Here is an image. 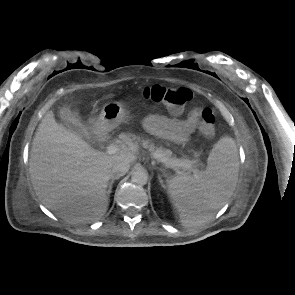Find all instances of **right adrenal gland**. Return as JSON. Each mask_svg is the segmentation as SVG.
Returning <instances> with one entry per match:
<instances>
[{
  "mask_svg": "<svg viewBox=\"0 0 295 295\" xmlns=\"http://www.w3.org/2000/svg\"><path fill=\"white\" fill-rule=\"evenodd\" d=\"M120 178V176H112V178H111V180H110V182H109V185H108V194H110L111 192H112V186H113V183H114V181L115 180H117V179H119Z\"/></svg>",
  "mask_w": 295,
  "mask_h": 295,
  "instance_id": "2a0ac1e0",
  "label": "right adrenal gland"
}]
</instances>
